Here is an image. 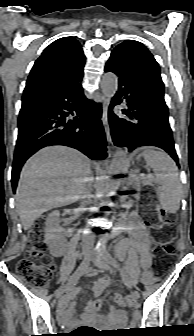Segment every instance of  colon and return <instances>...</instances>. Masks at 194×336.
<instances>
[{
	"instance_id": "1",
	"label": "colon",
	"mask_w": 194,
	"mask_h": 336,
	"mask_svg": "<svg viewBox=\"0 0 194 336\" xmlns=\"http://www.w3.org/2000/svg\"><path fill=\"white\" fill-rule=\"evenodd\" d=\"M144 213L151 218L152 227L155 231L162 233L158 245L154 248L156 257H169L173 255L174 248L172 245L173 234L169 228L174 224V218L166 211L160 209L156 204L145 203L142 206ZM45 219L39 218L35 221L29 235V246L24 258L17 263L16 269L21 278L34 287L44 288L48 285L52 274V268L46 265L35 264L32 259L42 258L46 250L44 240ZM153 280L148 278L146 283ZM126 300L131 301L127 296ZM87 329H82L81 332Z\"/></svg>"
}]
</instances>
